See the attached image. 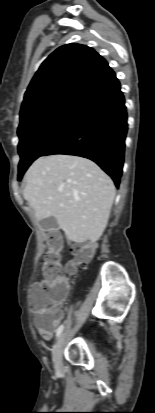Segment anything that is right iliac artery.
<instances>
[{
	"mask_svg": "<svg viewBox=\"0 0 155 413\" xmlns=\"http://www.w3.org/2000/svg\"><path fill=\"white\" fill-rule=\"evenodd\" d=\"M63 328H64L63 325H60V326L58 327V329H57V331H56V336H57V337L62 333Z\"/></svg>",
	"mask_w": 155,
	"mask_h": 413,
	"instance_id": "right-iliac-artery-1",
	"label": "right iliac artery"
}]
</instances>
